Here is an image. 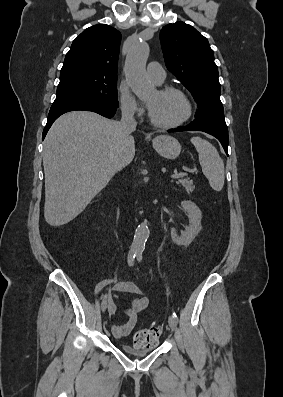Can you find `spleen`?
Listing matches in <instances>:
<instances>
[{
	"label": "spleen",
	"mask_w": 283,
	"mask_h": 397,
	"mask_svg": "<svg viewBox=\"0 0 283 397\" xmlns=\"http://www.w3.org/2000/svg\"><path fill=\"white\" fill-rule=\"evenodd\" d=\"M191 143L195 146L202 172L215 191H221L224 186V163L216 148L201 137H192Z\"/></svg>",
	"instance_id": "spleen-1"
}]
</instances>
